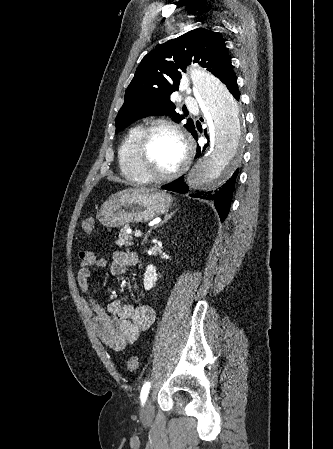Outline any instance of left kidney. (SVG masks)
<instances>
[{
    "instance_id": "5707ae66",
    "label": "left kidney",
    "mask_w": 333,
    "mask_h": 449,
    "mask_svg": "<svg viewBox=\"0 0 333 449\" xmlns=\"http://www.w3.org/2000/svg\"><path fill=\"white\" fill-rule=\"evenodd\" d=\"M156 281H157L156 268L153 265H149L146 268V271H145V274H144V288H145V290L152 289L154 287Z\"/></svg>"
}]
</instances>
